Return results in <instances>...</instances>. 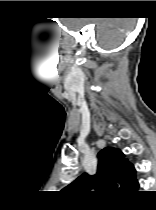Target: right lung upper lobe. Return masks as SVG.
<instances>
[{
    "label": "right lung upper lobe",
    "mask_w": 156,
    "mask_h": 210,
    "mask_svg": "<svg viewBox=\"0 0 156 210\" xmlns=\"http://www.w3.org/2000/svg\"><path fill=\"white\" fill-rule=\"evenodd\" d=\"M98 158L97 173L82 174L69 185L70 188L85 191L95 187L98 191L117 193L120 197H128L138 190L136 170L120 149L106 147L98 153Z\"/></svg>",
    "instance_id": "obj_1"
}]
</instances>
